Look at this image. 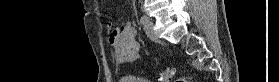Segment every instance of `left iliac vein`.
<instances>
[{
    "mask_svg": "<svg viewBox=\"0 0 279 82\" xmlns=\"http://www.w3.org/2000/svg\"><path fill=\"white\" fill-rule=\"evenodd\" d=\"M143 24H144V29H145L147 36L152 40L157 39V34L154 31V25H155L154 22L148 20V21L144 22Z\"/></svg>",
    "mask_w": 279,
    "mask_h": 82,
    "instance_id": "left-iliac-vein-1",
    "label": "left iliac vein"
}]
</instances>
